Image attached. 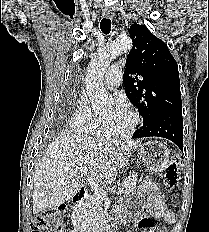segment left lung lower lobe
Listing matches in <instances>:
<instances>
[{
  "mask_svg": "<svg viewBox=\"0 0 209 232\" xmlns=\"http://www.w3.org/2000/svg\"><path fill=\"white\" fill-rule=\"evenodd\" d=\"M162 137L174 142L183 151L182 109L164 113L148 126L135 131L133 138Z\"/></svg>",
  "mask_w": 209,
  "mask_h": 232,
  "instance_id": "0a47b994",
  "label": "left lung lower lobe"
}]
</instances>
